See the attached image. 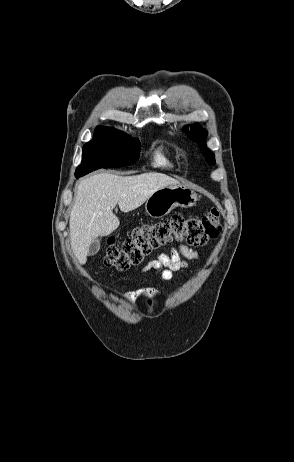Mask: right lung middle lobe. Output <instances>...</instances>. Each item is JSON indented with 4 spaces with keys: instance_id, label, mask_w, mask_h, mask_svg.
I'll use <instances>...</instances> for the list:
<instances>
[{
    "instance_id": "right-lung-middle-lobe-1",
    "label": "right lung middle lobe",
    "mask_w": 294,
    "mask_h": 462,
    "mask_svg": "<svg viewBox=\"0 0 294 462\" xmlns=\"http://www.w3.org/2000/svg\"><path fill=\"white\" fill-rule=\"evenodd\" d=\"M99 153L112 155L116 159L117 167L126 166L138 160L140 143L116 129L97 127L93 139L83 146L82 163L77 167L75 176L89 173L92 158Z\"/></svg>"
}]
</instances>
